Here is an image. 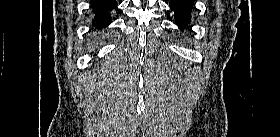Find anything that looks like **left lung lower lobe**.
Masks as SVG:
<instances>
[{
    "instance_id": "0a47b994",
    "label": "left lung lower lobe",
    "mask_w": 280,
    "mask_h": 137,
    "mask_svg": "<svg viewBox=\"0 0 280 137\" xmlns=\"http://www.w3.org/2000/svg\"><path fill=\"white\" fill-rule=\"evenodd\" d=\"M194 0H170L169 6L174 11L176 23L180 29L188 26Z\"/></svg>"
}]
</instances>
